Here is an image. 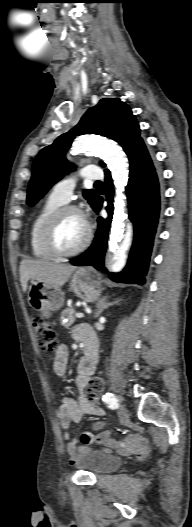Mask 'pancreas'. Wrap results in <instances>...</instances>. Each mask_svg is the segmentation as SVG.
I'll return each instance as SVG.
<instances>
[{"label": "pancreas", "mask_w": 192, "mask_h": 527, "mask_svg": "<svg viewBox=\"0 0 192 527\" xmlns=\"http://www.w3.org/2000/svg\"><path fill=\"white\" fill-rule=\"evenodd\" d=\"M74 312H75V310L73 308H66V309H64L62 311L61 317H60L61 325L69 326L70 324L74 323L76 321V318L73 315ZM65 319H67L66 322H64Z\"/></svg>", "instance_id": "obj_1"}]
</instances>
